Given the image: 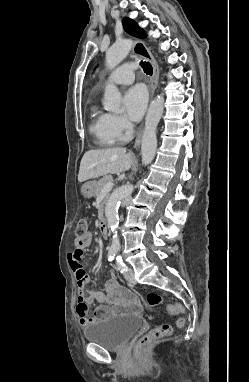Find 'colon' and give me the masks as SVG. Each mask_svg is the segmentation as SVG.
<instances>
[{"label": "colon", "mask_w": 249, "mask_h": 382, "mask_svg": "<svg viewBox=\"0 0 249 382\" xmlns=\"http://www.w3.org/2000/svg\"><path fill=\"white\" fill-rule=\"evenodd\" d=\"M88 234V221L85 218H81L78 221L77 228H76V239L79 241H82L85 239L86 235ZM86 271L82 269L80 271V275H85ZM147 302L150 306L158 305L164 302V298L156 293V292H150L147 295ZM168 312L170 314H179L183 313V308L177 304V303H168L167 305ZM177 326L183 327L185 324V319L183 317H179L177 320ZM173 331V327L170 324H163L156 328H153L148 333L143 335L136 344V351L140 354L142 353V350L148 346H150L153 342L156 340L166 337L170 335Z\"/></svg>", "instance_id": "1"}]
</instances>
